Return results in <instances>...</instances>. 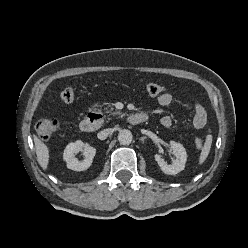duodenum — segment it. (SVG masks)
Returning <instances> with one entry per match:
<instances>
[{"mask_svg": "<svg viewBox=\"0 0 248 248\" xmlns=\"http://www.w3.org/2000/svg\"><path fill=\"white\" fill-rule=\"evenodd\" d=\"M148 120V115L145 113H132L126 116V121L131 125H138ZM101 125L100 116L96 113H89L80 122V130L84 133L96 131Z\"/></svg>", "mask_w": 248, "mask_h": 248, "instance_id": "1", "label": "duodenum"}]
</instances>
